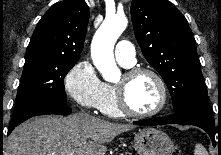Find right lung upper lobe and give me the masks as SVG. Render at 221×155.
<instances>
[{"label": "right lung upper lobe", "instance_id": "obj_1", "mask_svg": "<svg viewBox=\"0 0 221 155\" xmlns=\"http://www.w3.org/2000/svg\"><path fill=\"white\" fill-rule=\"evenodd\" d=\"M88 21L89 7L84 0H64L54 4L38 22L25 59L78 61Z\"/></svg>", "mask_w": 221, "mask_h": 155}]
</instances>
